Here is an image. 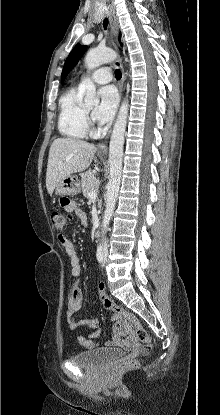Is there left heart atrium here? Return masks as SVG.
<instances>
[{
	"label": "left heart atrium",
	"mask_w": 220,
	"mask_h": 415,
	"mask_svg": "<svg viewBox=\"0 0 220 415\" xmlns=\"http://www.w3.org/2000/svg\"><path fill=\"white\" fill-rule=\"evenodd\" d=\"M99 96L100 102L94 110L93 116L99 123H108L115 115L118 105V95L114 87L106 86L100 90Z\"/></svg>",
	"instance_id": "1"
}]
</instances>
